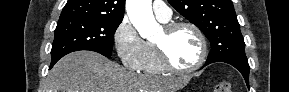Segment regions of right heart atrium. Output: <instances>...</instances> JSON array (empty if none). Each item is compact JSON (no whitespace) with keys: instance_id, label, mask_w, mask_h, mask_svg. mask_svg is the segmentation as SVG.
<instances>
[{"instance_id":"1","label":"right heart atrium","mask_w":289,"mask_h":92,"mask_svg":"<svg viewBox=\"0 0 289 92\" xmlns=\"http://www.w3.org/2000/svg\"><path fill=\"white\" fill-rule=\"evenodd\" d=\"M114 47L125 68L131 71L142 70L148 55L147 42L138 34L134 25L125 17L113 34Z\"/></svg>"}]
</instances>
